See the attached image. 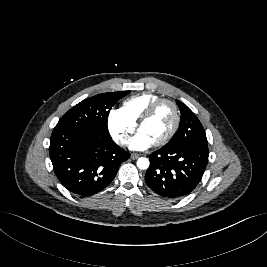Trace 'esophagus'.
Masks as SVG:
<instances>
[{
  "label": "esophagus",
  "instance_id": "obj_1",
  "mask_svg": "<svg viewBox=\"0 0 267 267\" xmlns=\"http://www.w3.org/2000/svg\"><path fill=\"white\" fill-rule=\"evenodd\" d=\"M138 157H139V154H137V153L131 154V159H133V160H136Z\"/></svg>",
  "mask_w": 267,
  "mask_h": 267
}]
</instances>
